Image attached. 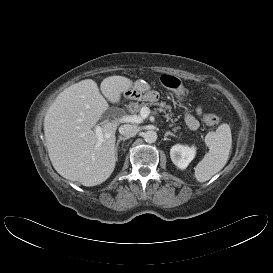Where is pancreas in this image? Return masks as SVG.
Returning <instances> with one entry per match:
<instances>
[{
    "label": "pancreas",
    "mask_w": 273,
    "mask_h": 273,
    "mask_svg": "<svg viewBox=\"0 0 273 273\" xmlns=\"http://www.w3.org/2000/svg\"><path fill=\"white\" fill-rule=\"evenodd\" d=\"M152 105H156L159 106L158 111L160 112H164L165 115L164 117L166 118L167 122H172L174 123L176 121V119H173L172 116V112H171V107L169 105L166 104V102H156V103H138V102H131L127 108L128 111L133 114L136 115L138 112H140L141 108L146 107V106H152ZM170 126H172V124H170ZM178 128H175L174 130L176 131Z\"/></svg>",
    "instance_id": "obj_1"
}]
</instances>
